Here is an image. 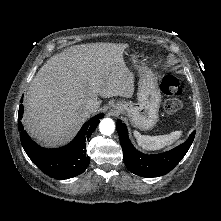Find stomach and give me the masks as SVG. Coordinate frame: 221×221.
Masks as SVG:
<instances>
[{
  "instance_id": "obj_1",
  "label": "stomach",
  "mask_w": 221,
  "mask_h": 221,
  "mask_svg": "<svg viewBox=\"0 0 221 221\" xmlns=\"http://www.w3.org/2000/svg\"><path fill=\"white\" fill-rule=\"evenodd\" d=\"M137 57L136 53L128 54L133 64L137 63ZM139 75L138 101L136 103L120 101L114 105V109L117 113L127 115L134 127L148 130L157 123L161 93L157 77L150 68L139 67Z\"/></svg>"
}]
</instances>
